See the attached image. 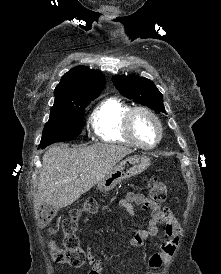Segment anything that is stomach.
<instances>
[{"instance_id":"0dacf381","label":"stomach","mask_w":221,"mask_h":274,"mask_svg":"<svg viewBox=\"0 0 221 274\" xmlns=\"http://www.w3.org/2000/svg\"><path fill=\"white\" fill-rule=\"evenodd\" d=\"M150 165L147 156H129L117 164L99 183L102 192L112 190L121 181L136 176Z\"/></svg>"}]
</instances>
